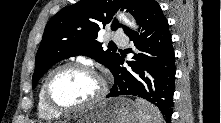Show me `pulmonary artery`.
Returning a JSON list of instances; mask_svg holds the SVG:
<instances>
[{"label": "pulmonary artery", "mask_w": 221, "mask_h": 123, "mask_svg": "<svg viewBox=\"0 0 221 123\" xmlns=\"http://www.w3.org/2000/svg\"><path fill=\"white\" fill-rule=\"evenodd\" d=\"M113 40L120 44H126L127 43V37L122 32H115L113 34Z\"/></svg>", "instance_id": "1"}]
</instances>
